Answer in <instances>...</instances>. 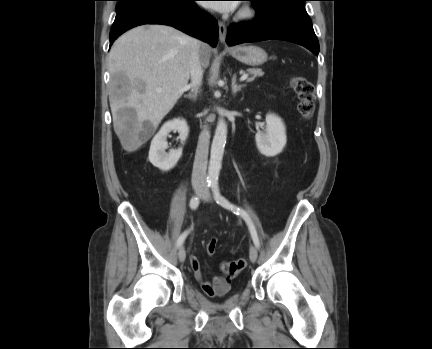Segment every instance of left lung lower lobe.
<instances>
[{"instance_id":"obj_1","label":"left lung lower lobe","mask_w":432,"mask_h":349,"mask_svg":"<svg viewBox=\"0 0 432 349\" xmlns=\"http://www.w3.org/2000/svg\"><path fill=\"white\" fill-rule=\"evenodd\" d=\"M257 17L247 24H232L227 44L236 45L263 40H286L319 53V43L303 5L287 0L254 2Z\"/></svg>"}]
</instances>
